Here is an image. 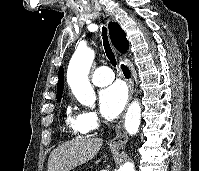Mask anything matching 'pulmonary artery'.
I'll return each instance as SVG.
<instances>
[{
	"label": "pulmonary artery",
	"instance_id": "1",
	"mask_svg": "<svg viewBox=\"0 0 199 171\" xmlns=\"http://www.w3.org/2000/svg\"><path fill=\"white\" fill-rule=\"evenodd\" d=\"M114 79V73L106 66L99 67L92 75V83L96 86H105Z\"/></svg>",
	"mask_w": 199,
	"mask_h": 171
}]
</instances>
